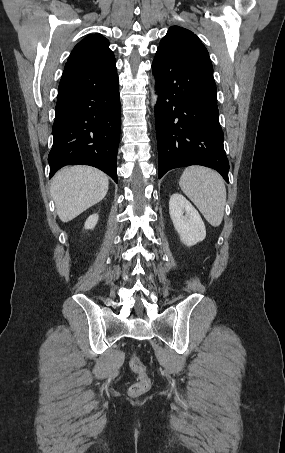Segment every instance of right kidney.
<instances>
[{"label":"right kidney","mask_w":285,"mask_h":453,"mask_svg":"<svg viewBox=\"0 0 285 453\" xmlns=\"http://www.w3.org/2000/svg\"><path fill=\"white\" fill-rule=\"evenodd\" d=\"M99 216L98 214H92L89 216L84 224L85 229H93L97 222H98Z\"/></svg>","instance_id":"right-kidney-1"}]
</instances>
